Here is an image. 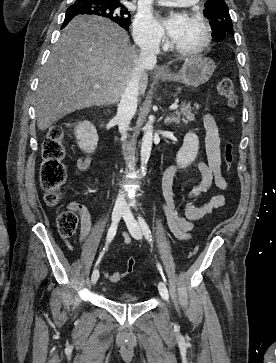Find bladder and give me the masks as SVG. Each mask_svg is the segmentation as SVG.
Masks as SVG:
<instances>
[{
  "label": "bladder",
  "mask_w": 276,
  "mask_h": 363,
  "mask_svg": "<svg viewBox=\"0 0 276 363\" xmlns=\"http://www.w3.org/2000/svg\"><path fill=\"white\" fill-rule=\"evenodd\" d=\"M119 301L122 303H126V304H132V303H138L140 301V299L131 294H123L120 297Z\"/></svg>",
  "instance_id": "31cf9c89"
}]
</instances>
